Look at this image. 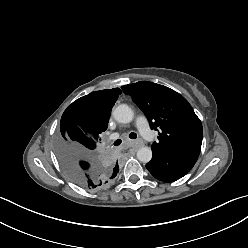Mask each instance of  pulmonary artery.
<instances>
[{
	"label": "pulmonary artery",
	"mask_w": 248,
	"mask_h": 248,
	"mask_svg": "<svg viewBox=\"0 0 248 248\" xmlns=\"http://www.w3.org/2000/svg\"><path fill=\"white\" fill-rule=\"evenodd\" d=\"M136 127L139 130L142 137L146 140H149V137L151 136V130L148 124L147 119L144 116H139L136 120ZM112 138H117L118 133H115L111 136Z\"/></svg>",
	"instance_id": "obj_1"
}]
</instances>
